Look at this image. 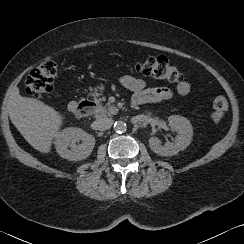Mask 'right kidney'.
I'll use <instances>...</instances> for the list:
<instances>
[{
  "label": "right kidney",
  "instance_id": "obj_1",
  "mask_svg": "<svg viewBox=\"0 0 244 244\" xmlns=\"http://www.w3.org/2000/svg\"><path fill=\"white\" fill-rule=\"evenodd\" d=\"M82 141L81 144H76ZM57 153L69 161L86 159L95 146V138L77 127H67L55 136Z\"/></svg>",
  "mask_w": 244,
  "mask_h": 244
}]
</instances>
